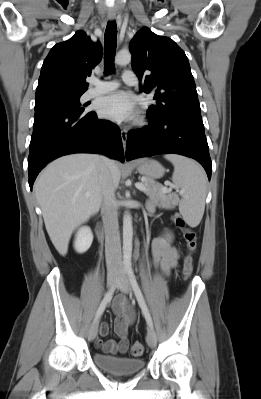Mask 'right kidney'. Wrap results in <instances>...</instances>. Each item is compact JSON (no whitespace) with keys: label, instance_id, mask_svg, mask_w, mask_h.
<instances>
[{"label":"right kidney","instance_id":"right-kidney-1","mask_svg":"<svg viewBox=\"0 0 261 399\" xmlns=\"http://www.w3.org/2000/svg\"><path fill=\"white\" fill-rule=\"evenodd\" d=\"M93 242V234L89 227L83 226L78 229L75 241L74 248L78 253L86 252Z\"/></svg>","mask_w":261,"mask_h":399}]
</instances>
